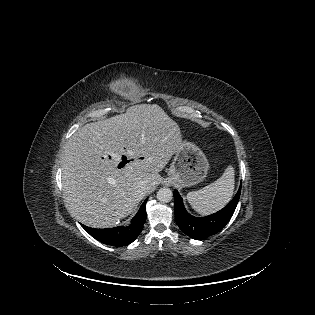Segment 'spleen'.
I'll return each mask as SVG.
<instances>
[{"instance_id": "obj_1", "label": "spleen", "mask_w": 315, "mask_h": 315, "mask_svg": "<svg viewBox=\"0 0 315 315\" xmlns=\"http://www.w3.org/2000/svg\"><path fill=\"white\" fill-rule=\"evenodd\" d=\"M234 168L228 166L223 175L204 188L188 192L187 200L201 215H209L222 209L232 198L234 191Z\"/></svg>"}]
</instances>
